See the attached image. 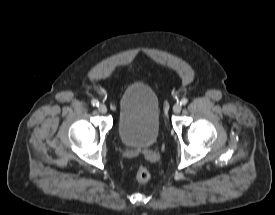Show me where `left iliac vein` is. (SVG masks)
<instances>
[{
  "mask_svg": "<svg viewBox=\"0 0 275 215\" xmlns=\"http://www.w3.org/2000/svg\"><path fill=\"white\" fill-rule=\"evenodd\" d=\"M181 109H182V106L179 103H177L173 106V112L174 113H179L181 111Z\"/></svg>",
  "mask_w": 275,
  "mask_h": 215,
  "instance_id": "4c4485c4",
  "label": "left iliac vein"
}]
</instances>
